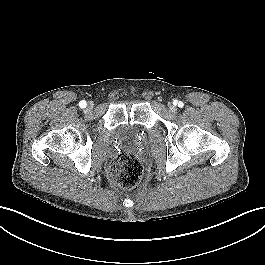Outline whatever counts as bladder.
<instances>
[{"mask_svg":"<svg viewBox=\"0 0 265 265\" xmlns=\"http://www.w3.org/2000/svg\"><path fill=\"white\" fill-rule=\"evenodd\" d=\"M136 133L132 129H126L124 131V136L135 138Z\"/></svg>","mask_w":265,"mask_h":265,"instance_id":"1","label":"bladder"}]
</instances>
